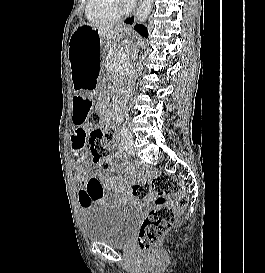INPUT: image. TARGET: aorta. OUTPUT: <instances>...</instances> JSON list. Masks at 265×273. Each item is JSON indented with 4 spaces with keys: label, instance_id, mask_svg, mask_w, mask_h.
<instances>
[{
    "label": "aorta",
    "instance_id": "762f6f07",
    "mask_svg": "<svg viewBox=\"0 0 265 273\" xmlns=\"http://www.w3.org/2000/svg\"><path fill=\"white\" fill-rule=\"evenodd\" d=\"M152 1L153 0H143L139 5L136 12V20L139 23H145V21L148 19L152 10Z\"/></svg>",
    "mask_w": 265,
    "mask_h": 273
}]
</instances>
